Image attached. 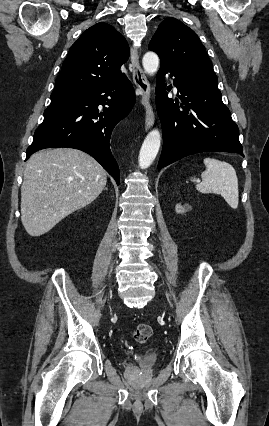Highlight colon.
Masks as SVG:
<instances>
[{
    "label": "colon",
    "instance_id": "obj_1",
    "mask_svg": "<svg viewBox=\"0 0 269 426\" xmlns=\"http://www.w3.org/2000/svg\"><path fill=\"white\" fill-rule=\"evenodd\" d=\"M152 336V328L147 324H139L134 328L133 337L139 343L147 342Z\"/></svg>",
    "mask_w": 269,
    "mask_h": 426
}]
</instances>
